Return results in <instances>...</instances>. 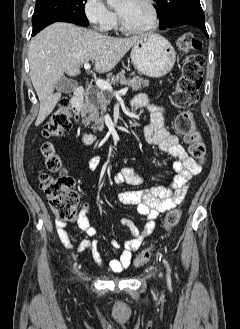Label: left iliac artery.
<instances>
[{"label":"left iliac artery","mask_w":240,"mask_h":329,"mask_svg":"<svg viewBox=\"0 0 240 329\" xmlns=\"http://www.w3.org/2000/svg\"><path fill=\"white\" fill-rule=\"evenodd\" d=\"M163 263L166 265L167 271L170 273V267H169L168 262L165 259H163Z\"/></svg>","instance_id":"44dca946"}]
</instances>
